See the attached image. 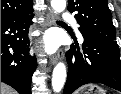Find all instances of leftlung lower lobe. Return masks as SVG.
<instances>
[{
	"mask_svg": "<svg viewBox=\"0 0 121 94\" xmlns=\"http://www.w3.org/2000/svg\"><path fill=\"white\" fill-rule=\"evenodd\" d=\"M83 53L74 46L67 51L68 76L63 94L87 83H102L121 91V61L116 40L83 35Z\"/></svg>",
	"mask_w": 121,
	"mask_h": 94,
	"instance_id": "1",
	"label": "left lung lower lobe"
}]
</instances>
